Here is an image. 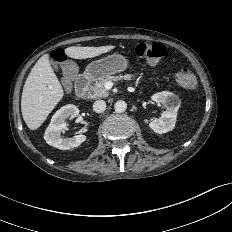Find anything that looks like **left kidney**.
Segmentation results:
<instances>
[{
  "label": "left kidney",
  "instance_id": "left-kidney-1",
  "mask_svg": "<svg viewBox=\"0 0 232 232\" xmlns=\"http://www.w3.org/2000/svg\"><path fill=\"white\" fill-rule=\"evenodd\" d=\"M156 104H162L166 110L161 114L159 119H154L149 123V127L158 134H163L174 129L177 111L180 107V99L177 95L169 91H163L154 94L151 97Z\"/></svg>",
  "mask_w": 232,
  "mask_h": 232
}]
</instances>
